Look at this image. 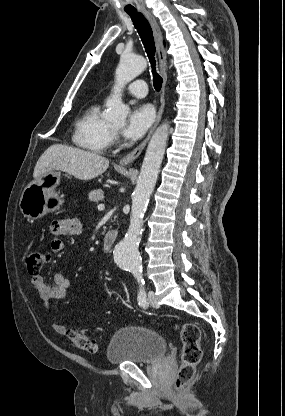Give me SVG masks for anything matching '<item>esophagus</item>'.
<instances>
[{"instance_id": "1", "label": "esophagus", "mask_w": 285, "mask_h": 416, "mask_svg": "<svg viewBox=\"0 0 285 416\" xmlns=\"http://www.w3.org/2000/svg\"><path fill=\"white\" fill-rule=\"evenodd\" d=\"M143 13L153 30V34H154L156 46H157L158 58H159V67H160L161 74L163 76L161 106L158 110L155 122L153 126L150 128V131L147 137L145 138V140H143L142 143H140V145H138L133 151H131V153H128V155L124 156L120 160L121 165H128L129 163L133 162L136 158H138V156L142 153L145 146L149 142L154 130L159 125V122L161 120V117L165 108V88H166V84L168 80V75H167V56H166L165 48L163 45V35L154 16L150 12H143Z\"/></svg>"}]
</instances>
